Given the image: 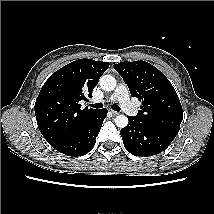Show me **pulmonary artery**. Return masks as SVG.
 Returning a JSON list of instances; mask_svg holds the SVG:
<instances>
[{
	"instance_id": "e3ab8cb5",
	"label": "pulmonary artery",
	"mask_w": 214,
	"mask_h": 214,
	"mask_svg": "<svg viewBox=\"0 0 214 214\" xmlns=\"http://www.w3.org/2000/svg\"><path fill=\"white\" fill-rule=\"evenodd\" d=\"M107 101H118L120 106L129 114L136 115L138 109L136 106L130 101L129 91L125 84L120 83L108 98Z\"/></svg>"
}]
</instances>
